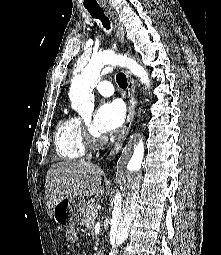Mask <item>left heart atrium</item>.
<instances>
[{
    "mask_svg": "<svg viewBox=\"0 0 221 255\" xmlns=\"http://www.w3.org/2000/svg\"><path fill=\"white\" fill-rule=\"evenodd\" d=\"M123 120L124 107L121 102H104L95 113L93 129L100 135L111 134L122 125Z\"/></svg>",
    "mask_w": 221,
    "mask_h": 255,
    "instance_id": "obj_1",
    "label": "left heart atrium"
}]
</instances>
